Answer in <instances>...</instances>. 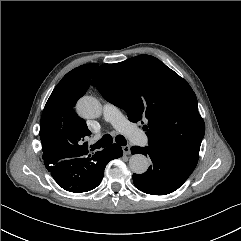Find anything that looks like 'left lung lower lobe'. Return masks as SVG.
I'll list each match as a JSON object with an SVG mask.
<instances>
[{
	"mask_svg": "<svg viewBox=\"0 0 241 241\" xmlns=\"http://www.w3.org/2000/svg\"><path fill=\"white\" fill-rule=\"evenodd\" d=\"M131 153L149 156L152 165L141 174H133L135 186L144 193L166 195L177 190L191 175L197 160L156 146H133Z\"/></svg>",
	"mask_w": 241,
	"mask_h": 241,
	"instance_id": "left-lung-lower-lobe-1",
	"label": "left lung lower lobe"
}]
</instances>
